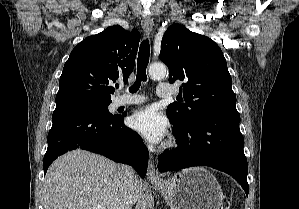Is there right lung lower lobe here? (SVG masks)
I'll return each mask as SVG.
<instances>
[{"label": "right lung lower lobe", "instance_id": "98d812e1", "mask_svg": "<svg viewBox=\"0 0 299 209\" xmlns=\"http://www.w3.org/2000/svg\"><path fill=\"white\" fill-rule=\"evenodd\" d=\"M52 120L43 160L44 174L58 156L84 149L129 164L141 178L145 177L149 152L140 136L124 125L123 116L104 119L86 109L64 104L56 105Z\"/></svg>", "mask_w": 299, "mask_h": 209}]
</instances>
